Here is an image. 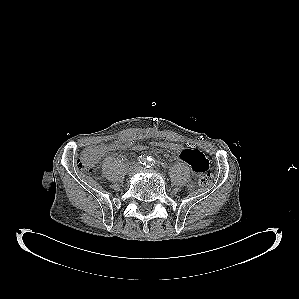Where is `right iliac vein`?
Here are the masks:
<instances>
[{
  "mask_svg": "<svg viewBox=\"0 0 299 299\" xmlns=\"http://www.w3.org/2000/svg\"><path fill=\"white\" fill-rule=\"evenodd\" d=\"M137 169H138V165L137 164H131L128 167V174L129 175L133 174Z\"/></svg>",
  "mask_w": 299,
  "mask_h": 299,
  "instance_id": "63e3f726",
  "label": "right iliac vein"
}]
</instances>
